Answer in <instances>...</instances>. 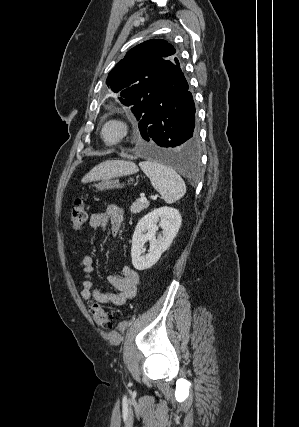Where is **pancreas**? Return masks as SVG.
Returning a JSON list of instances; mask_svg holds the SVG:
<instances>
[{
    "label": "pancreas",
    "mask_w": 299,
    "mask_h": 427,
    "mask_svg": "<svg viewBox=\"0 0 299 427\" xmlns=\"http://www.w3.org/2000/svg\"><path fill=\"white\" fill-rule=\"evenodd\" d=\"M149 206L148 202H142L141 199H137L130 207V211L133 214L140 213L144 209H146Z\"/></svg>",
    "instance_id": "cf45deb5"
}]
</instances>
